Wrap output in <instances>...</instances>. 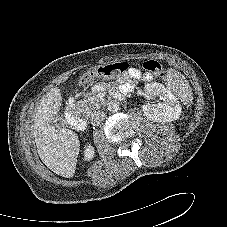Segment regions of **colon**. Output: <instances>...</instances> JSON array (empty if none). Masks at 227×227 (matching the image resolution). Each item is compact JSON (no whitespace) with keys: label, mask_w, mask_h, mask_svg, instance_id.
<instances>
[{"label":"colon","mask_w":227,"mask_h":227,"mask_svg":"<svg viewBox=\"0 0 227 227\" xmlns=\"http://www.w3.org/2000/svg\"><path fill=\"white\" fill-rule=\"evenodd\" d=\"M128 68V64L124 62L104 65L98 68H94L84 75H82L78 80V87L87 86L91 80L99 77L115 78L123 74ZM143 69L146 77H162L164 72L161 65L155 60H148L144 62Z\"/></svg>","instance_id":"5ec220e1"}]
</instances>
